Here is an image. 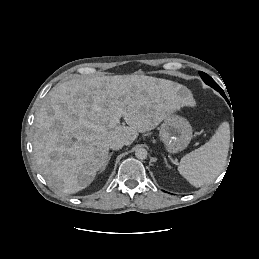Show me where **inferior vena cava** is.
I'll list each match as a JSON object with an SVG mask.
<instances>
[{"label":"inferior vena cava","mask_w":259,"mask_h":259,"mask_svg":"<svg viewBox=\"0 0 259 259\" xmlns=\"http://www.w3.org/2000/svg\"><path fill=\"white\" fill-rule=\"evenodd\" d=\"M124 141L118 138H115L110 141L109 147L113 150H119L124 146Z\"/></svg>","instance_id":"1"}]
</instances>
